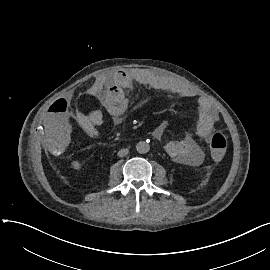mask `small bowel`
I'll list each match as a JSON object with an SVG mask.
<instances>
[{
    "instance_id": "obj_1",
    "label": "small bowel",
    "mask_w": 270,
    "mask_h": 270,
    "mask_svg": "<svg viewBox=\"0 0 270 270\" xmlns=\"http://www.w3.org/2000/svg\"><path fill=\"white\" fill-rule=\"evenodd\" d=\"M134 83L154 90L172 92L186 98L197 97V93L187 85L146 68H130L99 76L89 87L88 94L100 97L112 123L120 126L129 105L128 93ZM73 106L72 98L63 93L54 95L45 106L44 112L49 119L46 128L50 134V143L55 148H64L69 143L68 126L62 117L70 113ZM198 111L196 133L200 137H207L214 130L217 115L206 98H199ZM75 120L83 132L90 137H99L101 128L105 124L104 116L97 108H92L87 113L78 112ZM166 130L167 124L161 123L154 129L153 137L162 140ZM165 149L171 157L190 166H199L204 161V151L190 133H186L180 139L168 141Z\"/></svg>"
}]
</instances>
